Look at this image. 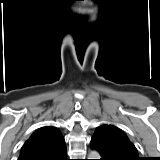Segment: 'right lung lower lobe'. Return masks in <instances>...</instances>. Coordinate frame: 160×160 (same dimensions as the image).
I'll return each instance as SVG.
<instances>
[{
	"label": "right lung lower lobe",
	"instance_id": "1",
	"mask_svg": "<svg viewBox=\"0 0 160 160\" xmlns=\"http://www.w3.org/2000/svg\"><path fill=\"white\" fill-rule=\"evenodd\" d=\"M55 160H68L67 159V150L66 151H64L63 153H62V155H60L58 158H56Z\"/></svg>",
	"mask_w": 160,
	"mask_h": 160
}]
</instances>
